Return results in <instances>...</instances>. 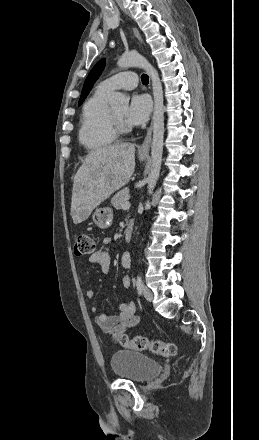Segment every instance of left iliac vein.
Instances as JSON below:
<instances>
[{"mask_svg":"<svg viewBox=\"0 0 259 440\" xmlns=\"http://www.w3.org/2000/svg\"><path fill=\"white\" fill-rule=\"evenodd\" d=\"M142 292H143L144 298L147 301L151 302L153 300V293L151 292V290L149 288L143 286Z\"/></svg>","mask_w":259,"mask_h":440,"instance_id":"1","label":"left iliac vein"}]
</instances>
